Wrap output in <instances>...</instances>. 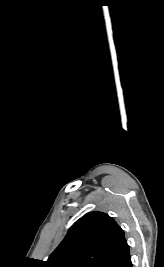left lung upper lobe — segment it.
I'll return each instance as SVG.
<instances>
[{"label":"left lung upper lobe","mask_w":164,"mask_h":267,"mask_svg":"<svg viewBox=\"0 0 164 267\" xmlns=\"http://www.w3.org/2000/svg\"><path fill=\"white\" fill-rule=\"evenodd\" d=\"M124 232L105 213L92 212L77 220L45 262L46 267H103L124 241Z\"/></svg>","instance_id":"5c2ea615"}]
</instances>
